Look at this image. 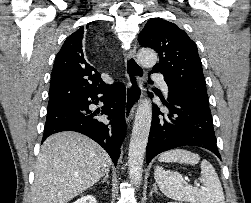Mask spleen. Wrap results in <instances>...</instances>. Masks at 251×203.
Masks as SVG:
<instances>
[{
	"label": "spleen",
	"instance_id": "spleen-1",
	"mask_svg": "<svg viewBox=\"0 0 251 203\" xmlns=\"http://www.w3.org/2000/svg\"><path fill=\"white\" fill-rule=\"evenodd\" d=\"M158 160L159 162L197 164L200 156L188 150L173 149L162 153ZM154 178L161 192L173 200L190 203H225L218 174L207 160L201 161V177L199 178L205 189L193 187L178 172L164 170L159 166L155 168Z\"/></svg>",
	"mask_w": 251,
	"mask_h": 203
}]
</instances>
